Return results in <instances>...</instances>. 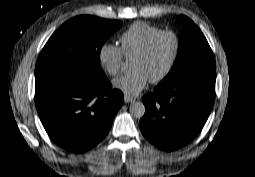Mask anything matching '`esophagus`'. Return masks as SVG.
Segmentation results:
<instances>
[{
    "label": "esophagus",
    "instance_id": "34e87169",
    "mask_svg": "<svg viewBox=\"0 0 255 177\" xmlns=\"http://www.w3.org/2000/svg\"><path fill=\"white\" fill-rule=\"evenodd\" d=\"M135 100L132 97H129L128 95H124V102L125 103H130L134 102Z\"/></svg>",
    "mask_w": 255,
    "mask_h": 177
}]
</instances>
